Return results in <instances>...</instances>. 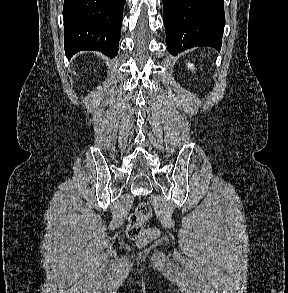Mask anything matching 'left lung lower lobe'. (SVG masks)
<instances>
[{
    "mask_svg": "<svg viewBox=\"0 0 288 293\" xmlns=\"http://www.w3.org/2000/svg\"><path fill=\"white\" fill-rule=\"evenodd\" d=\"M169 53L196 46L220 51L225 26L223 0H163Z\"/></svg>",
    "mask_w": 288,
    "mask_h": 293,
    "instance_id": "left-lung-lower-lobe-1",
    "label": "left lung lower lobe"
}]
</instances>
